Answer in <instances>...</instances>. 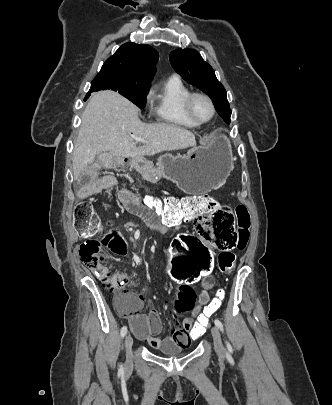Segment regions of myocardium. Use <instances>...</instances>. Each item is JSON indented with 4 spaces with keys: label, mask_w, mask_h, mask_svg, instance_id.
Instances as JSON below:
<instances>
[{
    "label": "myocardium",
    "mask_w": 332,
    "mask_h": 405,
    "mask_svg": "<svg viewBox=\"0 0 332 405\" xmlns=\"http://www.w3.org/2000/svg\"><path fill=\"white\" fill-rule=\"evenodd\" d=\"M196 97H202V98L206 99L211 106V109H212L211 116L207 120H204V121L198 120L192 112L191 104H192L193 99ZM182 107H183V112H184L185 116L197 125H204V124L209 123L210 121L213 120V118L216 115V106H215L213 99L204 92H190L189 94H187L183 100Z\"/></svg>",
    "instance_id": "obj_1"
}]
</instances>
